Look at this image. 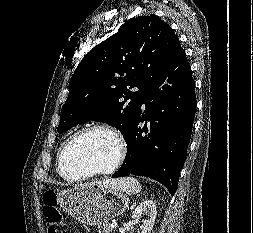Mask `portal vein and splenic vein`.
<instances>
[{"mask_svg": "<svg viewBox=\"0 0 253 233\" xmlns=\"http://www.w3.org/2000/svg\"><path fill=\"white\" fill-rule=\"evenodd\" d=\"M111 226H112L113 228H116V227H117V223L114 221V222L111 224Z\"/></svg>", "mask_w": 253, "mask_h": 233, "instance_id": "portal-vein-and-splenic-vein-1", "label": "portal vein and splenic vein"}]
</instances>
